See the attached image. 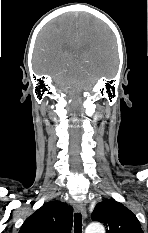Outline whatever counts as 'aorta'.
Listing matches in <instances>:
<instances>
[{
    "mask_svg": "<svg viewBox=\"0 0 148 233\" xmlns=\"http://www.w3.org/2000/svg\"><path fill=\"white\" fill-rule=\"evenodd\" d=\"M85 233H105V228L101 223L95 222L87 226Z\"/></svg>",
    "mask_w": 148,
    "mask_h": 233,
    "instance_id": "762f6f07",
    "label": "aorta"
}]
</instances>
